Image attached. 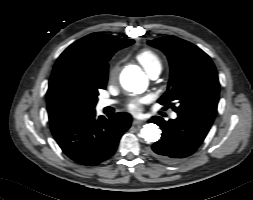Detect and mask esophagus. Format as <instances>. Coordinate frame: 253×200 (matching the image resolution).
Here are the masks:
<instances>
[{"label": "esophagus", "mask_w": 253, "mask_h": 200, "mask_svg": "<svg viewBox=\"0 0 253 200\" xmlns=\"http://www.w3.org/2000/svg\"><path fill=\"white\" fill-rule=\"evenodd\" d=\"M143 122L142 121H140V120H133V122H132V124L133 125H141Z\"/></svg>", "instance_id": "1"}]
</instances>
